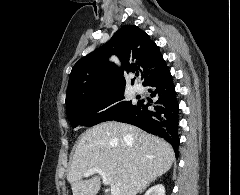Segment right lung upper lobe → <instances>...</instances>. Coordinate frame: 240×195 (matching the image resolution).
<instances>
[{
    "instance_id": "obj_1",
    "label": "right lung upper lobe",
    "mask_w": 240,
    "mask_h": 195,
    "mask_svg": "<svg viewBox=\"0 0 240 195\" xmlns=\"http://www.w3.org/2000/svg\"><path fill=\"white\" fill-rule=\"evenodd\" d=\"M111 55L119 57L121 68L108 60ZM123 70H140L143 86L168 70L158 46L135 25H125L109 42L73 66L66 106L80 98L105 96L124 90Z\"/></svg>"
}]
</instances>
